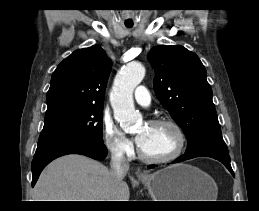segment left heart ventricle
<instances>
[{
  "label": "left heart ventricle",
  "instance_id": "1",
  "mask_svg": "<svg viewBox=\"0 0 259 211\" xmlns=\"http://www.w3.org/2000/svg\"><path fill=\"white\" fill-rule=\"evenodd\" d=\"M136 132L138 135H142L139 146L149 156H165L175 148V134L169 126L142 124Z\"/></svg>",
  "mask_w": 259,
  "mask_h": 211
}]
</instances>
